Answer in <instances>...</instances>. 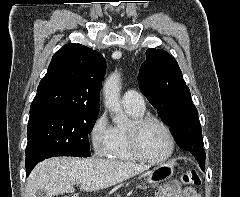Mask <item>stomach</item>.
Returning <instances> with one entry per match:
<instances>
[{
  "label": "stomach",
  "mask_w": 240,
  "mask_h": 197,
  "mask_svg": "<svg viewBox=\"0 0 240 197\" xmlns=\"http://www.w3.org/2000/svg\"><path fill=\"white\" fill-rule=\"evenodd\" d=\"M174 173L173 164L154 168L147 175V183L156 184L170 178Z\"/></svg>",
  "instance_id": "obj_1"
}]
</instances>
